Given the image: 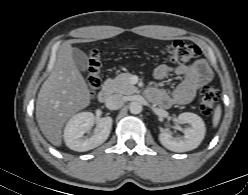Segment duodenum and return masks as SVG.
<instances>
[{
	"mask_svg": "<svg viewBox=\"0 0 248 195\" xmlns=\"http://www.w3.org/2000/svg\"><path fill=\"white\" fill-rule=\"evenodd\" d=\"M98 100L101 103H107L112 97V88L110 85H104L97 94Z\"/></svg>",
	"mask_w": 248,
	"mask_h": 195,
	"instance_id": "1",
	"label": "duodenum"
}]
</instances>
